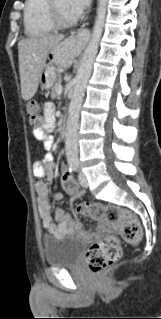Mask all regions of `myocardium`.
Here are the masks:
<instances>
[{"mask_svg": "<svg viewBox=\"0 0 161 319\" xmlns=\"http://www.w3.org/2000/svg\"><path fill=\"white\" fill-rule=\"evenodd\" d=\"M48 11L50 19L57 28H67L75 25L77 23V18H65L62 16L57 4L56 0H48Z\"/></svg>", "mask_w": 161, "mask_h": 319, "instance_id": "1", "label": "myocardium"}]
</instances>
